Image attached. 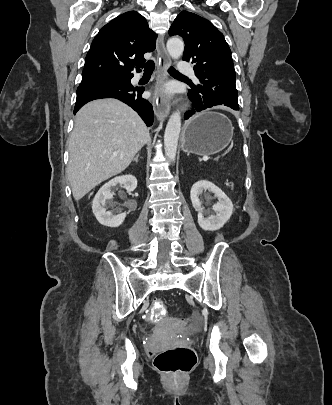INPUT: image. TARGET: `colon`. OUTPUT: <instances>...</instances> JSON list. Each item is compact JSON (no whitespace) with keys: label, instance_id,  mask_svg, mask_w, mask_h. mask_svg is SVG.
Listing matches in <instances>:
<instances>
[{"label":"colon","instance_id":"1","mask_svg":"<svg viewBox=\"0 0 332 405\" xmlns=\"http://www.w3.org/2000/svg\"><path fill=\"white\" fill-rule=\"evenodd\" d=\"M168 315L167 309L161 299H155L149 308V322L165 318ZM179 325H186L188 319L175 318ZM196 354L188 345L176 346L160 352L154 356V366L162 373L172 376L188 373L196 364Z\"/></svg>","mask_w":332,"mask_h":405}]
</instances>
